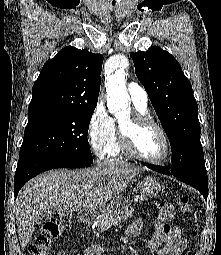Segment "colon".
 I'll return each instance as SVG.
<instances>
[{
  "label": "colon",
  "instance_id": "1",
  "mask_svg": "<svg viewBox=\"0 0 221 255\" xmlns=\"http://www.w3.org/2000/svg\"><path fill=\"white\" fill-rule=\"evenodd\" d=\"M179 210L183 214H188L192 211V204L188 197H181L178 201ZM173 216V209L171 206H165L161 209L157 229L160 231L167 230L168 222ZM72 226V218L66 213H57L49 218L42 226L39 234H37L29 248L30 255H50V247L52 242L59 237V235L70 229ZM183 255H191V252Z\"/></svg>",
  "mask_w": 221,
  "mask_h": 255
}]
</instances>
